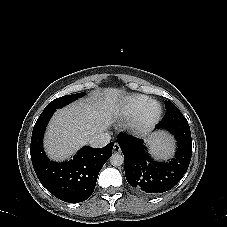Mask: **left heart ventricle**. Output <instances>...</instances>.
Here are the masks:
<instances>
[{"mask_svg": "<svg viewBox=\"0 0 227 227\" xmlns=\"http://www.w3.org/2000/svg\"><path fill=\"white\" fill-rule=\"evenodd\" d=\"M156 110V107L155 106H152L151 107V111H155Z\"/></svg>", "mask_w": 227, "mask_h": 227, "instance_id": "b2bd125f", "label": "left heart ventricle"}]
</instances>
